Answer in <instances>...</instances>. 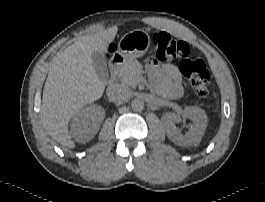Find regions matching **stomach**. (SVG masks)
Returning a JSON list of instances; mask_svg holds the SVG:
<instances>
[{"mask_svg": "<svg viewBox=\"0 0 265 202\" xmlns=\"http://www.w3.org/2000/svg\"><path fill=\"white\" fill-rule=\"evenodd\" d=\"M149 47V34L144 30H133L120 39L117 53L127 61L145 55Z\"/></svg>", "mask_w": 265, "mask_h": 202, "instance_id": "stomach-1", "label": "stomach"}]
</instances>
